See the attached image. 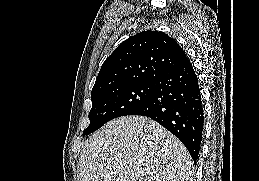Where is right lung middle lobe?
<instances>
[{"mask_svg":"<svg viewBox=\"0 0 259 181\" xmlns=\"http://www.w3.org/2000/svg\"><path fill=\"white\" fill-rule=\"evenodd\" d=\"M153 90L154 83H145L107 89L91 95L90 124L83 136L95 132L114 118L130 115L148 100Z\"/></svg>","mask_w":259,"mask_h":181,"instance_id":"1","label":"right lung middle lobe"}]
</instances>
